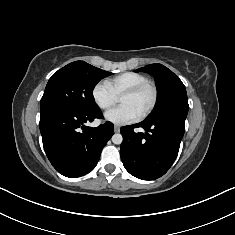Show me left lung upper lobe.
Returning a JSON list of instances; mask_svg holds the SVG:
<instances>
[{"label":"left lung upper lobe","mask_w":235,"mask_h":235,"mask_svg":"<svg viewBox=\"0 0 235 235\" xmlns=\"http://www.w3.org/2000/svg\"><path fill=\"white\" fill-rule=\"evenodd\" d=\"M140 71L153 75L158 89L156 105L146 119L165 115L187 116L189 105L185 86L171 70L161 64H150L136 70Z\"/></svg>","instance_id":"1"}]
</instances>
